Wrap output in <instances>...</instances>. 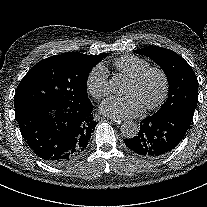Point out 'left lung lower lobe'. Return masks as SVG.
<instances>
[{"label":"left lung lower lobe","mask_w":207,"mask_h":207,"mask_svg":"<svg viewBox=\"0 0 207 207\" xmlns=\"http://www.w3.org/2000/svg\"><path fill=\"white\" fill-rule=\"evenodd\" d=\"M191 121L176 112L154 114L140 123L137 136L123 141L135 153L145 158H157L167 154L179 144Z\"/></svg>","instance_id":"1"}]
</instances>
